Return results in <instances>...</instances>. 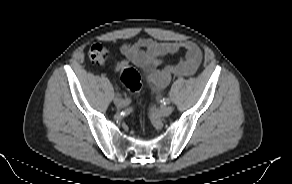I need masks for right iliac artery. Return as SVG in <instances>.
<instances>
[{
  "mask_svg": "<svg viewBox=\"0 0 292 184\" xmlns=\"http://www.w3.org/2000/svg\"><path fill=\"white\" fill-rule=\"evenodd\" d=\"M119 92V89H115V93H116V95L118 96L117 97V99H119L120 98V100H124L126 103H128V105H131L132 104V98H124V97H121V93H118Z\"/></svg>",
  "mask_w": 292,
  "mask_h": 184,
  "instance_id": "right-iliac-artery-1",
  "label": "right iliac artery"
}]
</instances>
